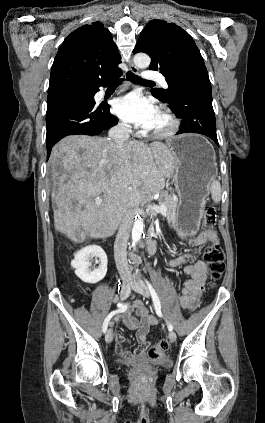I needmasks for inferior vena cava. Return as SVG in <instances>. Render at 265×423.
<instances>
[{"label":"inferior vena cava","mask_w":265,"mask_h":423,"mask_svg":"<svg viewBox=\"0 0 265 423\" xmlns=\"http://www.w3.org/2000/svg\"><path fill=\"white\" fill-rule=\"evenodd\" d=\"M131 126L126 123H118L109 130V142L122 149L129 140ZM134 213L128 209L122 218L121 224L114 243V258L117 270L122 278L130 275L127 262V242L132 228Z\"/></svg>","instance_id":"obj_1"}]
</instances>
